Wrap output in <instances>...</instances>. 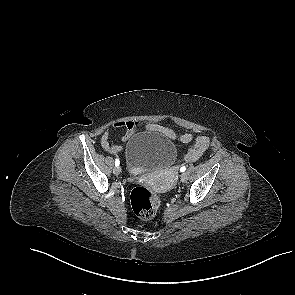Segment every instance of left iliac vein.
<instances>
[{"mask_svg": "<svg viewBox=\"0 0 295 295\" xmlns=\"http://www.w3.org/2000/svg\"><path fill=\"white\" fill-rule=\"evenodd\" d=\"M180 179H181L182 182H186L187 179H188L187 174L186 173H182L181 176H180Z\"/></svg>", "mask_w": 295, "mask_h": 295, "instance_id": "1", "label": "left iliac vein"}]
</instances>
